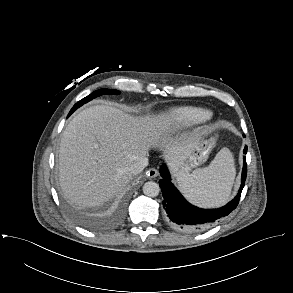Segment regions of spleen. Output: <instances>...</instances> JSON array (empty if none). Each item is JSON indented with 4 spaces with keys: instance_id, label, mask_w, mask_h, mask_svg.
<instances>
[{
    "instance_id": "3e777b00",
    "label": "spleen",
    "mask_w": 293,
    "mask_h": 293,
    "mask_svg": "<svg viewBox=\"0 0 293 293\" xmlns=\"http://www.w3.org/2000/svg\"><path fill=\"white\" fill-rule=\"evenodd\" d=\"M234 178V158L229 149L223 148L208 167L179 175L178 182L189 201L201 207H215L228 200Z\"/></svg>"
}]
</instances>
